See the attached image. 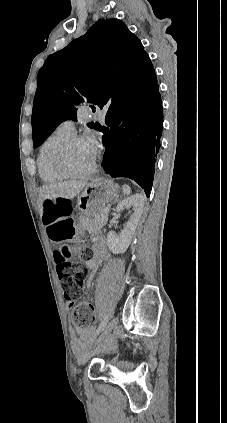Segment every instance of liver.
Listing matches in <instances>:
<instances>
[{"label":"liver","instance_id":"1","mask_svg":"<svg viewBox=\"0 0 227 423\" xmlns=\"http://www.w3.org/2000/svg\"><path fill=\"white\" fill-rule=\"evenodd\" d=\"M87 182H56V184H44L40 188L38 198V206L42 210L43 200H57V198H65V200H73L80 192H82Z\"/></svg>","mask_w":227,"mask_h":423}]
</instances>
